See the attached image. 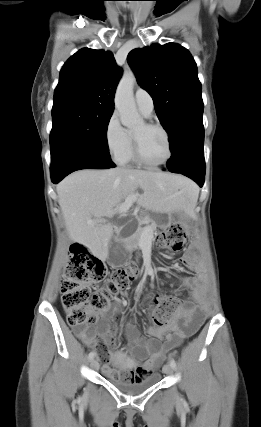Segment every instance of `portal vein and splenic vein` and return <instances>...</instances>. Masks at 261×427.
<instances>
[{
  "instance_id": "1",
  "label": "portal vein and splenic vein",
  "mask_w": 261,
  "mask_h": 427,
  "mask_svg": "<svg viewBox=\"0 0 261 427\" xmlns=\"http://www.w3.org/2000/svg\"><path fill=\"white\" fill-rule=\"evenodd\" d=\"M136 200H137V194H132V195L128 196L124 203L116 206V208L114 209V213H125V212H127L129 210V208L131 207V205ZM88 224L94 225L95 223L93 220H88Z\"/></svg>"
}]
</instances>
